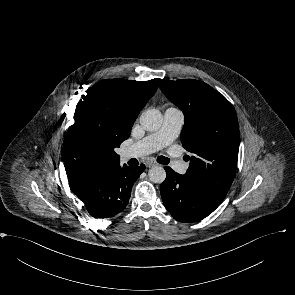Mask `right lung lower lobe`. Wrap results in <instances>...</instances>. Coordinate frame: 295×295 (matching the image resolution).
<instances>
[{"label": "right lung lower lobe", "instance_id": "1", "mask_svg": "<svg viewBox=\"0 0 295 295\" xmlns=\"http://www.w3.org/2000/svg\"><path fill=\"white\" fill-rule=\"evenodd\" d=\"M144 169V164L121 167L120 163L100 169L85 179L74 193L92 217H113L128 205L132 186Z\"/></svg>", "mask_w": 295, "mask_h": 295}]
</instances>
